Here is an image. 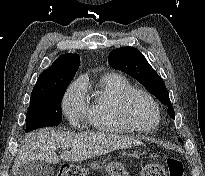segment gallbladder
<instances>
[{
  "label": "gallbladder",
  "mask_w": 205,
  "mask_h": 176,
  "mask_svg": "<svg viewBox=\"0 0 205 176\" xmlns=\"http://www.w3.org/2000/svg\"><path fill=\"white\" fill-rule=\"evenodd\" d=\"M54 170L47 162L30 161L22 164L17 172V176H53Z\"/></svg>",
  "instance_id": "1"
}]
</instances>
